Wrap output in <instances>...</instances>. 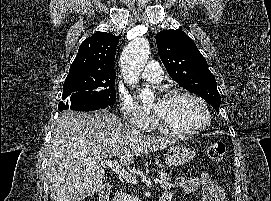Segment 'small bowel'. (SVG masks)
I'll list each match as a JSON object with an SVG mask.
<instances>
[{"mask_svg": "<svg viewBox=\"0 0 271 201\" xmlns=\"http://www.w3.org/2000/svg\"><path fill=\"white\" fill-rule=\"evenodd\" d=\"M175 186L182 188L186 193H193L199 189L202 190L203 201H226L223 188L214 183L205 173L188 178L179 177L175 180ZM165 193H169L172 197L170 191Z\"/></svg>", "mask_w": 271, "mask_h": 201, "instance_id": "small-bowel-1", "label": "small bowel"}]
</instances>
